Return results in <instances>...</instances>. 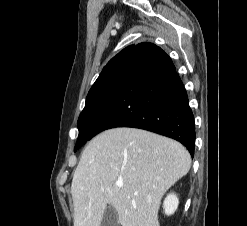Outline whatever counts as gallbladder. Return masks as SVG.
I'll return each instance as SVG.
<instances>
[{
  "label": "gallbladder",
  "mask_w": 247,
  "mask_h": 226,
  "mask_svg": "<svg viewBox=\"0 0 247 226\" xmlns=\"http://www.w3.org/2000/svg\"><path fill=\"white\" fill-rule=\"evenodd\" d=\"M100 226H119L118 213L113 206L106 208Z\"/></svg>",
  "instance_id": "gallbladder-1"
}]
</instances>
